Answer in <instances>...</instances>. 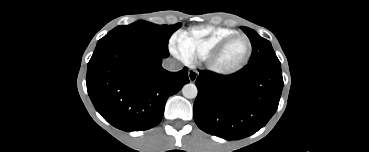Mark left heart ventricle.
Masks as SVG:
<instances>
[{"label": "left heart ventricle", "mask_w": 369, "mask_h": 152, "mask_svg": "<svg viewBox=\"0 0 369 152\" xmlns=\"http://www.w3.org/2000/svg\"><path fill=\"white\" fill-rule=\"evenodd\" d=\"M247 49L248 44L245 39H235L221 53L217 60V64L223 68L235 66L243 60L247 53Z\"/></svg>", "instance_id": "left-heart-ventricle-1"}]
</instances>
